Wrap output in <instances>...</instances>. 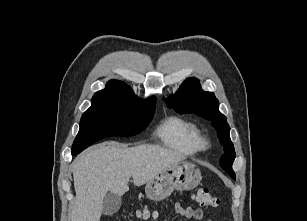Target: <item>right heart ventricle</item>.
Returning a JSON list of instances; mask_svg holds the SVG:
<instances>
[{
    "label": "right heart ventricle",
    "instance_id": "obj_1",
    "mask_svg": "<svg viewBox=\"0 0 307 221\" xmlns=\"http://www.w3.org/2000/svg\"><path fill=\"white\" fill-rule=\"evenodd\" d=\"M157 136L164 146L180 154L191 156L201 150V133L193 122L171 116L157 128Z\"/></svg>",
    "mask_w": 307,
    "mask_h": 221
}]
</instances>
